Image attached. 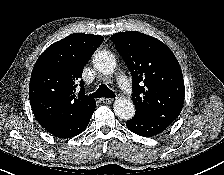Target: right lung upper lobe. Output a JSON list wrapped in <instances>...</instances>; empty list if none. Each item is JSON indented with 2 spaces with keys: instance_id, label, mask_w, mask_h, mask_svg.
Here are the masks:
<instances>
[{
  "instance_id": "cb5924a9",
  "label": "right lung upper lobe",
  "mask_w": 224,
  "mask_h": 175,
  "mask_svg": "<svg viewBox=\"0 0 224 175\" xmlns=\"http://www.w3.org/2000/svg\"><path fill=\"white\" fill-rule=\"evenodd\" d=\"M103 40L98 35L71 34L50 45L38 58L31 74L29 98L34 116L43 128L82 115L96 105L94 99L85 95L80 78Z\"/></svg>"
}]
</instances>
